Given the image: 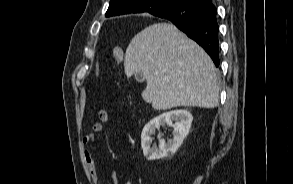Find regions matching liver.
Instances as JSON below:
<instances>
[{
	"label": "liver",
	"mask_w": 293,
	"mask_h": 184,
	"mask_svg": "<svg viewBox=\"0 0 293 184\" xmlns=\"http://www.w3.org/2000/svg\"><path fill=\"white\" fill-rule=\"evenodd\" d=\"M127 77L142 72V98L156 110L174 107L214 108L219 86L207 53L174 25L156 23L139 32L125 53Z\"/></svg>",
	"instance_id": "6515ba94"
}]
</instances>
